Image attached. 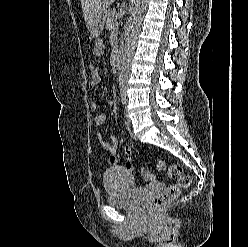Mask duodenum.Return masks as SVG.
<instances>
[{
    "instance_id": "obj_1",
    "label": "duodenum",
    "mask_w": 248,
    "mask_h": 247,
    "mask_svg": "<svg viewBox=\"0 0 248 247\" xmlns=\"http://www.w3.org/2000/svg\"><path fill=\"white\" fill-rule=\"evenodd\" d=\"M123 60H124V52L119 51L115 57V63H116V67L118 70H120L122 68Z\"/></svg>"
}]
</instances>
